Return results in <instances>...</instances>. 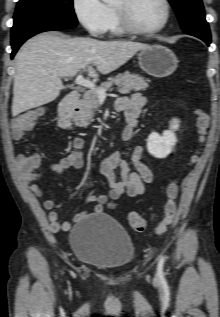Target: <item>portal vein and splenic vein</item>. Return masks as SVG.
Wrapping results in <instances>:
<instances>
[{"label": "portal vein and splenic vein", "mask_w": 220, "mask_h": 317, "mask_svg": "<svg viewBox=\"0 0 220 317\" xmlns=\"http://www.w3.org/2000/svg\"><path fill=\"white\" fill-rule=\"evenodd\" d=\"M74 82L77 85H81L83 87L94 90L97 93L99 99H105L107 96L106 94L107 89L97 88L93 82H91L88 79H85L81 74L76 77Z\"/></svg>", "instance_id": "18ae733b"}]
</instances>
